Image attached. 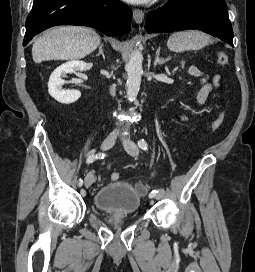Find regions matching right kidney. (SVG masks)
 <instances>
[{
	"mask_svg": "<svg viewBox=\"0 0 255 272\" xmlns=\"http://www.w3.org/2000/svg\"><path fill=\"white\" fill-rule=\"evenodd\" d=\"M86 67V63L83 61H69L59 67H57L51 74L48 82L49 94L58 102L62 104H71L77 101L81 92L77 90H64L62 85L64 84L63 77L66 74L75 73L76 71H83Z\"/></svg>",
	"mask_w": 255,
	"mask_h": 272,
	"instance_id": "obj_1",
	"label": "right kidney"
}]
</instances>
